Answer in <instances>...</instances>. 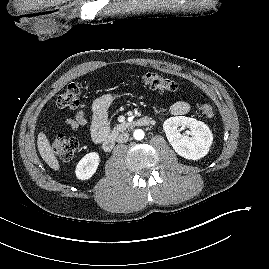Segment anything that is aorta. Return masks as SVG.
Listing matches in <instances>:
<instances>
[{
    "instance_id": "obj_1",
    "label": "aorta",
    "mask_w": 269,
    "mask_h": 269,
    "mask_svg": "<svg viewBox=\"0 0 269 269\" xmlns=\"http://www.w3.org/2000/svg\"><path fill=\"white\" fill-rule=\"evenodd\" d=\"M144 136H145L144 131L141 129H136L133 133V137L136 140H142Z\"/></svg>"
}]
</instances>
